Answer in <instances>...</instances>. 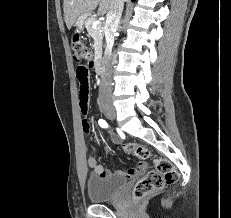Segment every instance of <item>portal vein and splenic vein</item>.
Here are the masks:
<instances>
[{
    "label": "portal vein and splenic vein",
    "mask_w": 231,
    "mask_h": 218,
    "mask_svg": "<svg viewBox=\"0 0 231 218\" xmlns=\"http://www.w3.org/2000/svg\"><path fill=\"white\" fill-rule=\"evenodd\" d=\"M101 22L99 20H96L93 22L92 26L93 28H96Z\"/></svg>",
    "instance_id": "portal-vein-and-splenic-vein-1"
}]
</instances>
